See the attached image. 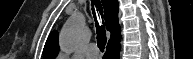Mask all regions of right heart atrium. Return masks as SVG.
Masks as SVG:
<instances>
[{
	"label": "right heart atrium",
	"mask_w": 193,
	"mask_h": 59,
	"mask_svg": "<svg viewBox=\"0 0 193 59\" xmlns=\"http://www.w3.org/2000/svg\"><path fill=\"white\" fill-rule=\"evenodd\" d=\"M59 59H71V58L68 54L61 53V54H59Z\"/></svg>",
	"instance_id": "1"
}]
</instances>
